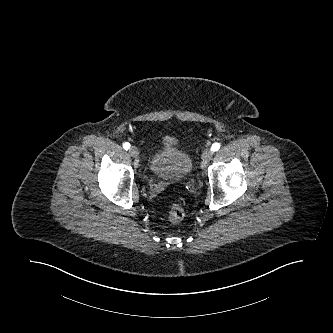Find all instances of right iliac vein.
Masks as SVG:
<instances>
[{
    "instance_id": "obj_1",
    "label": "right iliac vein",
    "mask_w": 333,
    "mask_h": 333,
    "mask_svg": "<svg viewBox=\"0 0 333 333\" xmlns=\"http://www.w3.org/2000/svg\"><path fill=\"white\" fill-rule=\"evenodd\" d=\"M129 154H130L132 157H137L138 154H139V151H138V149H137L135 146H132V147L129 149Z\"/></svg>"
}]
</instances>
